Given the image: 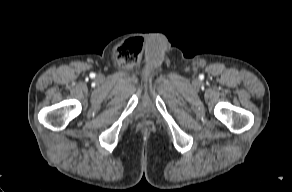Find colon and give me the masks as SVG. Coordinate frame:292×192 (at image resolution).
I'll list each match as a JSON object with an SVG mask.
<instances>
[{
	"label": "colon",
	"instance_id": "5ec220e1",
	"mask_svg": "<svg viewBox=\"0 0 292 192\" xmlns=\"http://www.w3.org/2000/svg\"><path fill=\"white\" fill-rule=\"evenodd\" d=\"M132 45L136 46V48H137V51L134 54L133 59H131V62H135L137 60L138 55H139L140 50H141V46H142L141 39L137 38V39H134L132 43H125L124 45H122L120 53H122L124 56V51L127 50V47L130 48Z\"/></svg>",
	"mask_w": 292,
	"mask_h": 192
}]
</instances>
